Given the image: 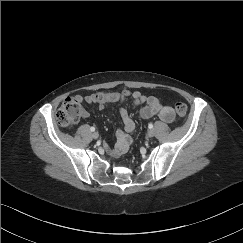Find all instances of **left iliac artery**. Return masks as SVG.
<instances>
[{
	"mask_svg": "<svg viewBox=\"0 0 243 243\" xmlns=\"http://www.w3.org/2000/svg\"><path fill=\"white\" fill-rule=\"evenodd\" d=\"M148 128H149V129H152V128H153V124L150 123V124L148 125Z\"/></svg>",
	"mask_w": 243,
	"mask_h": 243,
	"instance_id": "44dca946",
	"label": "left iliac artery"
}]
</instances>
